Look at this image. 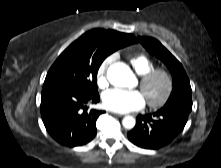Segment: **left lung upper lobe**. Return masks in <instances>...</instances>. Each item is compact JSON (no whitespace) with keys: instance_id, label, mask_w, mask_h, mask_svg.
Here are the masks:
<instances>
[{"instance_id":"5c2ea615","label":"left lung upper lobe","mask_w":221,"mask_h":168,"mask_svg":"<svg viewBox=\"0 0 221 168\" xmlns=\"http://www.w3.org/2000/svg\"><path fill=\"white\" fill-rule=\"evenodd\" d=\"M146 50L162 60L173 79V90L162 109L186 106L192 108L191 86L187 74L181 63L156 39L150 37H138Z\"/></svg>"}]
</instances>
